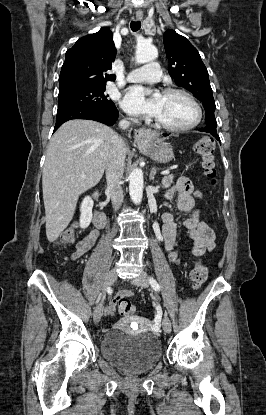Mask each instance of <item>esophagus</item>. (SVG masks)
I'll return each instance as SVG.
<instances>
[{"instance_id": "esophagus-1", "label": "esophagus", "mask_w": 266, "mask_h": 415, "mask_svg": "<svg viewBox=\"0 0 266 415\" xmlns=\"http://www.w3.org/2000/svg\"><path fill=\"white\" fill-rule=\"evenodd\" d=\"M143 15L140 13H137L135 16V19L137 21L142 20ZM150 136V132L146 129H139L135 132V140L137 143H143L148 137Z\"/></svg>"}]
</instances>
